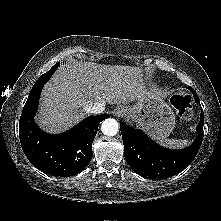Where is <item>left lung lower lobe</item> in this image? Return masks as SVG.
<instances>
[{"label":"left lung lower lobe","instance_id":"obj_1","mask_svg":"<svg viewBox=\"0 0 221 221\" xmlns=\"http://www.w3.org/2000/svg\"><path fill=\"white\" fill-rule=\"evenodd\" d=\"M188 89L193 93L195 101L199 103L195 90L192 87ZM203 124L202 110L201 119L197 125L198 136L192 145L182 150H170L152 141L142 130L133 129L125 122H121L125 159L133 171L144 177L164 179L176 175L183 171L196 156L204 136Z\"/></svg>","mask_w":221,"mask_h":221}]
</instances>
